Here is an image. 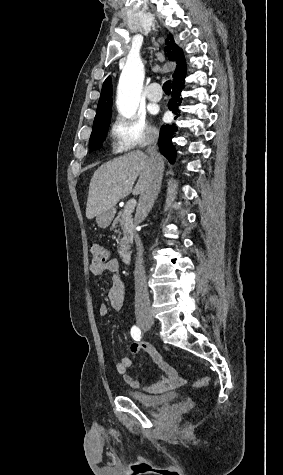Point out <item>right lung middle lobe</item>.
<instances>
[{
	"instance_id": "dd1d6c3e",
	"label": "right lung middle lobe",
	"mask_w": 283,
	"mask_h": 475,
	"mask_svg": "<svg viewBox=\"0 0 283 475\" xmlns=\"http://www.w3.org/2000/svg\"><path fill=\"white\" fill-rule=\"evenodd\" d=\"M112 105L97 107L96 116L93 123V130L90 136L89 148L91 151L99 149L105 141L108 127L111 121Z\"/></svg>"
}]
</instances>
